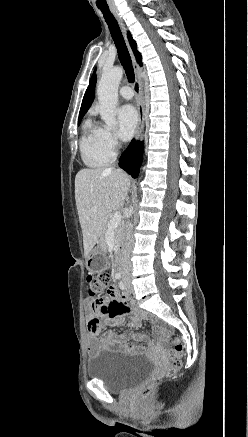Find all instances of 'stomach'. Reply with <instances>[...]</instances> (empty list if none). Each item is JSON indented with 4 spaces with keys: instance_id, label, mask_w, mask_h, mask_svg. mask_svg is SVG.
<instances>
[{
    "instance_id": "0dacf381",
    "label": "stomach",
    "mask_w": 248,
    "mask_h": 437,
    "mask_svg": "<svg viewBox=\"0 0 248 437\" xmlns=\"http://www.w3.org/2000/svg\"><path fill=\"white\" fill-rule=\"evenodd\" d=\"M88 272H107V257L101 249L92 250L86 257Z\"/></svg>"
}]
</instances>
